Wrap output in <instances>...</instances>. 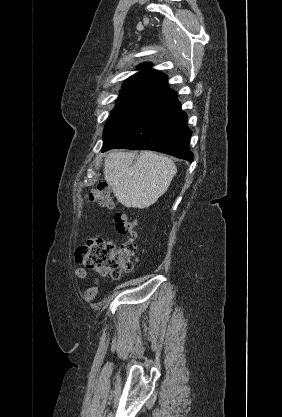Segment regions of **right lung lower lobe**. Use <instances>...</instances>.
Wrapping results in <instances>:
<instances>
[{
  "label": "right lung lower lobe",
  "instance_id": "obj_1",
  "mask_svg": "<svg viewBox=\"0 0 282 417\" xmlns=\"http://www.w3.org/2000/svg\"><path fill=\"white\" fill-rule=\"evenodd\" d=\"M191 134L176 92L168 89L138 117L108 138L101 151L112 148L154 150L192 162Z\"/></svg>",
  "mask_w": 282,
  "mask_h": 417
}]
</instances>
